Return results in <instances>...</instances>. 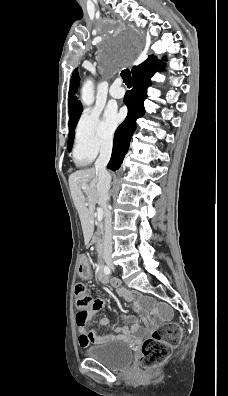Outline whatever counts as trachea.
I'll return each mask as SVG.
<instances>
[{
  "label": "trachea",
  "mask_w": 228,
  "mask_h": 396,
  "mask_svg": "<svg viewBox=\"0 0 228 396\" xmlns=\"http://www.w3.org/2000/svg\"><path fill=\"white\" fill-rule=\"evenodd\" d=\"M121 77H122V79H123V82H124L126 85L132 84L131 74H130V70H129V69H124V70L121 72Z\"/></svg>",
  "instance_id": "trachea-1"
}]
</instances>
